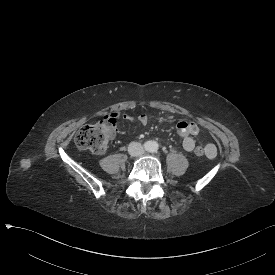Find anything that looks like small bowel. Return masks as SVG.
I'll return each mask as SVG.
<instances>
[{"label": "small bowel", "mask_w": 275, "mask_h": 275, "mask_svg": "<svg viewBox=\"0 0 275 275\" xmlns=\"http://www.w3.org/2000/svg\"><path fill=\"white\" fill-rule=\"evenodd\" d=\"M117 117L119 119H124L127 120L128 122H133L134 121V116L130 115L129 113H125L122 112L121 110H116V111H112L110 115H106L103 117L104 121H108L109 123H114L115 120L117 119ZM139 120L142 124H146L147 123V116L146 115H141L139 117ZM117 130L121 129L120 125L116 126ZM177 130L178 133L181 137V143H182V147L184 148V150L191 152L194 150L195 146H196V142L194 140V137L197 136L200 132L199 126L192 122V121H187V120H181L177 123ZM121 134H126L127 130L126 129H121L120 130ZM206 151H207V157L209 158H214L216 156H211L209 154L210 150H214L216 153V147L213 144H207L205 147Z\"/></svg>", "instance_id": "1"}]
</instances>
